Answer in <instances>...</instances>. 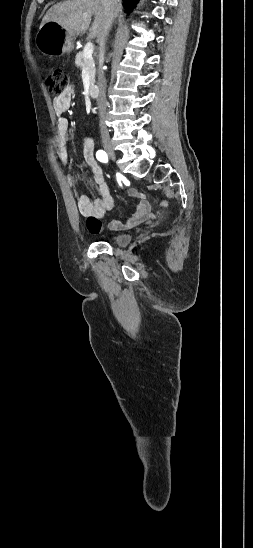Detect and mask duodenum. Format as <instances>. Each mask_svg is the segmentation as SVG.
<instances>
[{"label":"duodenum","mask_w":253,"mask_h":548,"mask_svg":"<svg viewBox=\"0 0 253 548\" xmlns=\"http://www.w3.org/2000/svg\"><path fill=\"white\" fill-rule=\"evenodd\" d=\"M89 96H90L91 98H94V99L97 98V97L99 96V89H98L97 86H92V87H90V89H89Z\"/></svg>","instance_id":"duodenum-1"}]
</instances>
